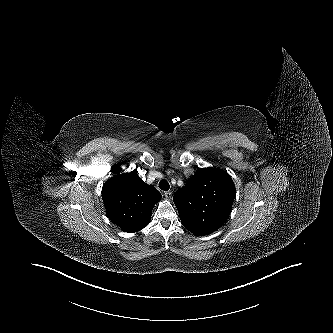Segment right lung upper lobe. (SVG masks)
<instances>
[{"label":"right lung upper lobe","mask_w":333,"mask_h":333,"mask_svg":"<svg viewBox=\"0 0 333 333\" xmlns=\"http://www.w3.org/2000/svg\"><path fill=\"white\" fill-rule=\"evenodd\" d=\"M102 198L111 221L125 232H137L149 223L161 194L132 171L107 180Z\"/></svg>","instance_id":"1"}]
</instances>
